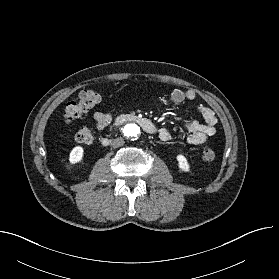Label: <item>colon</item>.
Returning <instances> with one entry per match:
<instances>
[{"label": "colon", "instance_id": "obj_1", "mask_svg": "<svg viewBox=\"0 0 279 279\" xmlns=\"http://www.w3.org/2000/svg\"><path fill=\"white\" fill-rule=\"evenodd\" d=\"M100 95L94 90H83L76 100L66 104L63 118L65 123L72 124L80 119L86 112L95 107L100 102ZM76 140L82 144H90L93 141V134L90 129L84 127L76 133ZM201 159L210 162L215 158L212 148L205 146L201 150Z\"/></svg>", "mask_w": 279, "mask_h": 279}]
</instances>
